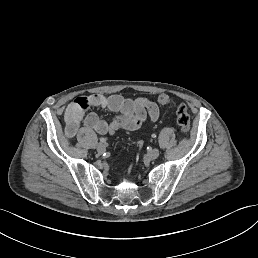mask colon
Wrapping results in <instances>:
<instances>
[{
  "mask_svg": "<svg viewBox=\"0 0 258 258\" xmlns=\"http://www.w3.org/2000/svg\"><path fill=\"white\" fill-rule=\"evenodd\" d=\"M159 102L164 106H174L173 99L167 94H161L159 96ZM176 120L182 133L186 134L190 131L191 118L188 112V108L184 103H180L176 106Z\"/></svg>",
  "mask_w": 258,
  "mask_h": 258,
  "instance_id": "5ec220e1",
  "label": "colon"
}]
</instances>
